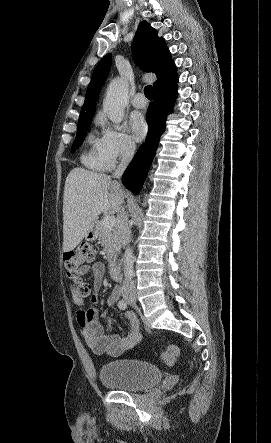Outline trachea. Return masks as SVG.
<instances>
[{
    "mask_svg": "<svg viewBox=\"0 0 271 443\" xmlns=\"http://www.w3.org/2000/svg\"><path fill=\"white\" fill-rule=\"evenodd\" d=\"M144 94L145 96L151 100L152 99V87L151 85H147V87L144 88Z\"/></svg>",
    "mask_w": 271,
    "mask_h": 443,
    "instance_id": "3493384b",
    "label": "trachea"
}]
</instances>
